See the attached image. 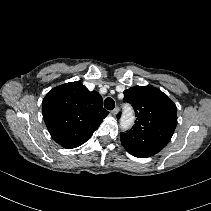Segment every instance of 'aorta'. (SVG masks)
Masks as SVG:
<instances>
[{"mask_svg": "<svg viewBox=\"0 0 211 211\" xmlns=\"http://www.w3.org/2000/svg\"><path fill=\"white\" fill-rule=\"evenodd\" d=\"M134 117L131 112H125L121 118L120 126L123 130L128 129L133 123Z\"/></svg>", "mask_w": 211, "mask_h": 211, "instance_id": "762f6f07", "label": "aorta"}]
</instances>
